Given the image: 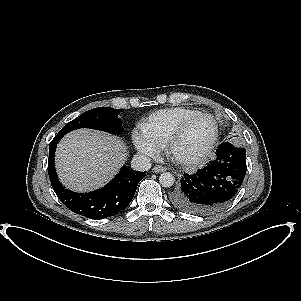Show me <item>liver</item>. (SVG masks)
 Returning a JSON list of instances; mask_svg holds the SVG:
<instances>
[{"label":"liver","mask_w":301,"mask_h":301,"mask_svg":"<svg viewBox=\"0 0 301 301\" xmlns=\"http://www.w3.org/2000/svg\"><path fill=\"white\" fill-rule=\"evenodd\" d=\"M126 158L125 144L118 137L79 129L62 138L56 150L55 165L65 186L85 192L111 180Z\"/></svg>","instance_id":"liver-1"}]
</instances>
